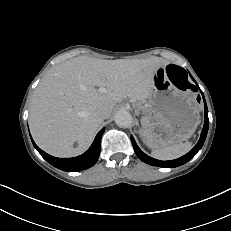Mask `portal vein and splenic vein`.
Returning <instances> with one entry per match:
<instances>
[{
	"label": "portal vein and splenic vein",
	"instance_id": "1",
	"mask_svg": "<svg viewBox=\"0 0 231 231\" xmlns=\"http://www.w3.org/2000/svg\"><path fill=\"white\" fill-rule=\"evenodd\" d=\"M99 91H100L101 93H105L107 90H106V88L101 87V88H99Z\"/></svg>",
	"mask_w": 231,
	"mask_h": 231
}]
</instances>
